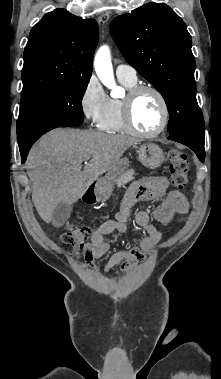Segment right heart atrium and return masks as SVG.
Returning <instances> with one entry per match:
<instances>
[{
	"mask_svg": "<svg viewBox=\"0 0 221 379\" xmlns=\"http://www.w3.org/2000/svg\"><path fill=\"white\" fill-rule=\"evenodd\" d=\"M109 97L95 77H91L81 94L80 107L84 117L92 124L98 125L102 120Z\"/></svg>",
	"mask_w": 221,
	"mask_h": 379,
	"instance_id": "1",
	"label": "right heart atrium"
}]
</instances>
